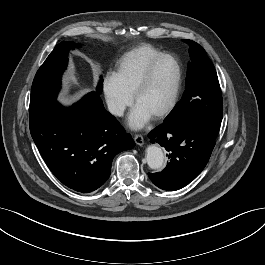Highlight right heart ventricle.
<instances>
[{
    "mask_svg": "<svg viewBox=\"0 0 265 265\" xmlns=\"http://www.w3.org/2000/svg\"><path fill=\"white\" fill-rule=\"evenodd\" d=\"M160 54L162 51L152 45H138L119 59L112 75L124 92L131 96L147 65Z\"/></svg>",
    "mask_w": 265,
    "mask_h": 265,
    "instance_id": "right-heart-ventricle-1",
    "label": "right heart ventricle"
}]
</instances>
